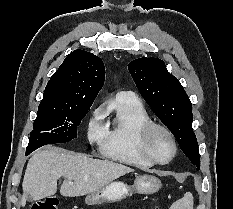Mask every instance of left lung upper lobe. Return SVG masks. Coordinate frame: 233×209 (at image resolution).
<instances>
[{"mask_svg":"<svg viewBox=\"0 0 233 209\" xmlns=\"http://www.w3.org/2000/svg\"><path fill=\"white\" fill-rule=\"evenodd\" d=\"M128 70L144 100L199 169L198 143L192 130V104L178 79L158 58H138L129 63Z\"/></svg>","mask_w":233,"mask_h":209,"instance_id":"1","label":"left lung upper lobe"}]
</instances>
